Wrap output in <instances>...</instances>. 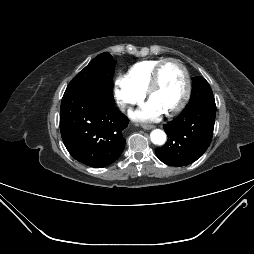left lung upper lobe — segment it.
Masks as SVG:
<instances>
[{
  "label": "left lung upper lobe",
  "instance_id": "1",
  "mask_svg": "<svg viewBox=\"0 0 254 254\" xmlns=\"http://www.w3.org/2000/svg\"><path fill=\"white\" fill-rule=\"evenodd\" d=\"M191 103H215L213 92L208 82L202 77H194L192 82Z\"/></svg>",
  "mask_w": 254,
  "mask_h": 254
}]
</instances>
